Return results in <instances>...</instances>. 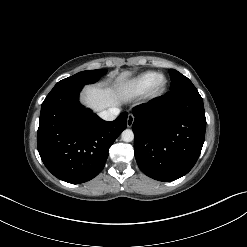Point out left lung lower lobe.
Instances as JSON below:
<instances>
[{
    "label": "left lung lower lobe",
    "instance_id": "1",
    "mask_svg": "<svg viewBox=\"0 0 247 247\" xmlns=\"http://www.w3.org/2000/svg\"><path fill=\"white\" fill-rule=\"evenodd\" d=\"M133 115L134 154L140 170L163 182L187 174L205 138V111L198 91H170L136 106Z\"/></svg>",
    "mask_w": 247,
    "mask_h": 247
}]
</instances>
